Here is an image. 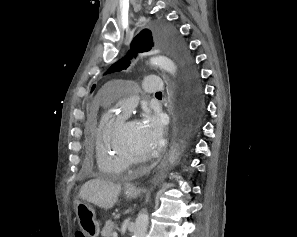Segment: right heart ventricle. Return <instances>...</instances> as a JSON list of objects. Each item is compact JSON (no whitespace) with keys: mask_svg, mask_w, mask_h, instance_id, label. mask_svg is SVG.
<instances>
[{"mask_svg":"<svg viewBox=\"0 0 297 237\" xmlns=\"http://www.w3.org/2000/svg\"><path fill=\"white\" fill-rule=\"evenodd\" d=\"M125 118L122 114L107 113L98 123L95 136V157L98 169L108 175H119L128 168V163L115 143L117 126Z\"/></svg>","mask_w":297,"mask_h":237,"instance_id":"obj_1","label":"right heart ventricle"}]
</instances>
